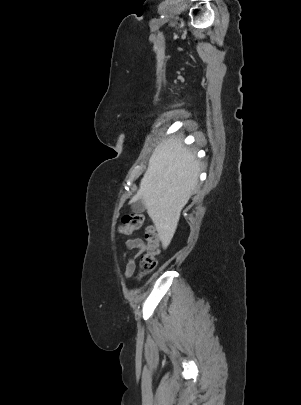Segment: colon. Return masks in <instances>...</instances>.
Instances as JSON below:
<instances>
[{
    "label": "colon",
    "mask_w": 301,
    "mask_h": 405,
    "mask_svg": "<svg viewBox=\"0 0 301 405\" xmlns=\"http://www.w3.org/2000/svg\"><path fill=\"white\" fill-rule=\"evenodd\" d=\"M145 217L142 213L131 212L123 216L119 231L128 235L140 229L144 224ZM145 246L140 261L143 273L152 271L157 265V259L161 254V244L157 231L153 227H148L145 232Z\"/></svg>",
    "instance_id": "5ec220e1"
}]
</instances>
